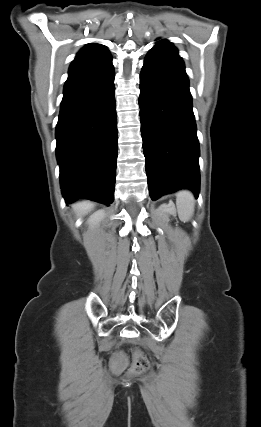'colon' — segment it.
<instances>
[{
	"mask_svg": "<svg viewBox=\"0 0 261 427\" xmlns=\"http://www.w3.org/2000/svg\"><path fill=\"white\" fill-rule=\"evenodd\" d=\"M148 367L149 362L147 357L140 350H136L134 353V362L130 372L133 374H140L146 371Z\"/></svg>",
	"mask_w": 261,
	"mask_h": 427,
	"instance_id": "1",
	"label": "colon"
}]
</instances>
